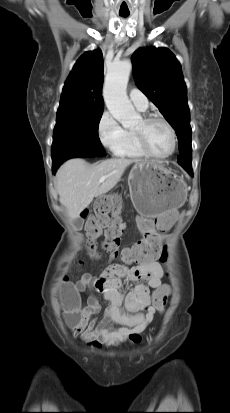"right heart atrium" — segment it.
<instances>
[{"instance_id":"right-heart-atrium-1","label":"right heart atrium","mask_w":230,"mask_h":413,"mask_svg":"<svg viewBox=\"0 0 230 413\" xmlns=\"http://www.w3.org/2000/svg\"><path fill=\"white\" fill-rule=\"evenodd\" d=\"M97 133L104 148L116 154L125 139V129L109 112L104 111L98 121Z\"/></svg>"}]
</instances>
